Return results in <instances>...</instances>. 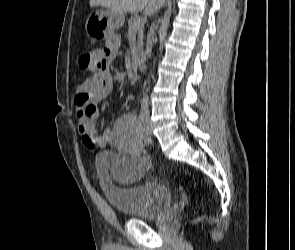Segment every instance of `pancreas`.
<instances>
[{"mask_svg": "<svg viewBox=\"0 0 295 250\" xmlns=\"http://www.w3.org/2000/svg\"><path fill=\"white\" fill-rule=\"evenodd\" d=\"M139 18L140 17L138 16L131 17L128 20V26L130 31L138 33L137 48L141 51L143 49L144 25L135 27V24L137 23Z\"/></svg>", "mask_w": 295, "mask_h": 250, "instance_id": "cf45deb5", "label": "pancreas"}]
</instances>
